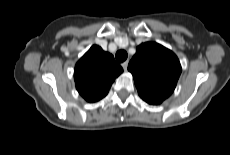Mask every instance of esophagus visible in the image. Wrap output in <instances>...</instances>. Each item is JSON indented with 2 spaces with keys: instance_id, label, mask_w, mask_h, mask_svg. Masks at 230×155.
<instances>
[{
  "instance_id": "obj_1",
  "label": "esophagus",
  "mask_w": 230,
  "mask_h": 155,
  "mask_svg": "<svg viewBox=\"0 0 230 155\" xmlns=\"http://www.w3.org/2000/svg\"><path fill=\"white\" fill-rule=\"evenodd\" d=\"M121 65H122L123 69L126 70L128 67V61L123 62Z\"/></svg>"
}]
</instances>
